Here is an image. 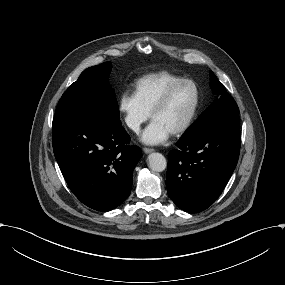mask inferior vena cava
Instances as JSON below:
<instances>
[{"label":"inferior vena cava","mask_w":285,"mask_h":285,"mask_svg":"<svg viewBox=\"0 0 285 285\" xmlns=\"http://www.w3.org/2000/svg\"><path fill=\"white\" fill-rule=\"evenodd\" d=\"M126 123L132 129L138 126L137 122L136 121L133 122L129 117L126 118Z\"/></svg>","instance_id":"obj_1"}]
</instances>
